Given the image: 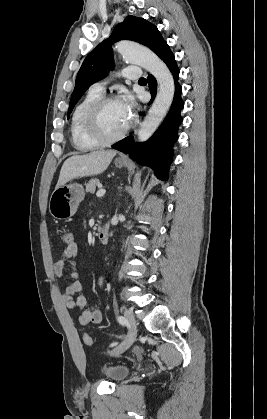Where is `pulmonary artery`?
<instances>
[{"label":"pulmonary artery","mask_w":267,"mask_h":419,"mask_svg":"<svg viewBox=\"0 0 267 419\" xmlns=\"http://www.w3.org/2000/svg\"><path fill=\"white\" fill-rule=\"evenodd\" d=\"M122 74L124 77L131 79V80H138L141 78V70L138 67H134V66H128L126 68L123 69ZM92 89L99 91V92H104L105 90V82L101 81V82H97L93 85Z\"/></svg>","instance_id":"1"}]
</instances>
